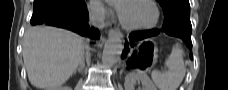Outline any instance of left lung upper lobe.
<instances>
[{
	"mask_svg": "<svg viewBox=\"0 0 228 90\" xmlns=\"http://www.w3.org/2000/svg\"><path fill=\"white\" fill-rule=\"evenodd\" d=\"M164 12L165 26L191 28L190 4L188 0H158Z\"/></svg>",
	"mask_w": 228,
	"mask_h": 90,
	"instance_id": "left-lung-upper-lobe-1",
	"label": "left lung upper lobe"
}]
</instances>
